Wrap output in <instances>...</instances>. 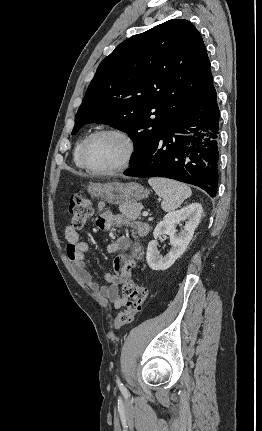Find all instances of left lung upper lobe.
I'll return each instance as SVG.
<instances>
[{"label": "left lung upper lobe", "mask_w": 262, "mask_h": 431, "mask_svg": "<svg viewBox=\"0 0 262 431\" xmlns=\"http://www.w3.org/2000/svg\"><path fill=\"white\" fill-rule=\"evenodd\" d=\"M212 84L197 29L187 20H169L125 40L100 63L72 135L92 122L125 131L135 145L133 164Z\"/></svg>", "instance_id": "left-lung-upper-lobe-1"}]
</instances>
